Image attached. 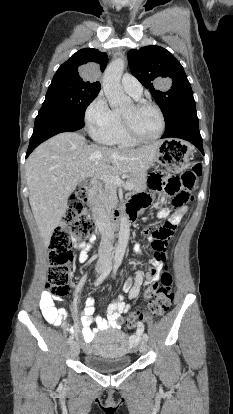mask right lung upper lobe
Returning <instances> with one entry per match:
<instances>
[{
  "label": "right lung upper lobe",
  "instance_id": "obj_1",
  "mask_svg": "<svg viewBox=\"0 0 233 414\" xmlns=\"http://www.w3.org/2000/svg\"><path fill=\"white\" fill-rule=\"evenodd\" d=\"M107 59L106 53H102L97 49L85 48L79 50L59 67L53 79L63 80L91 88H101L98 81L90 82L86 79H82L79 71L82 65L88 64V66L97 67V69L103 72L107 64Z\"/></svg>",
  "mask_w": 233,
  "mask_h": 414
}]
</instances>
